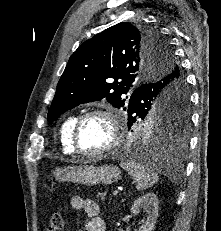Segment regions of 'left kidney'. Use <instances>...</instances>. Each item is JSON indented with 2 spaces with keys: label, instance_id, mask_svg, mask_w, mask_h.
Wrapping results in <instances>:
<instances>
[{
  "label": "left kidney",
  "instance_id": "1",
  "mask_svg": "<svg viewBox=\"0 0 221 231\" xmlns=\"http://www.w3.org/2000/svg\"><path fill=\"white\" fill-rule=\"evenodd\" d=\"M143 209L147 216L143 224L139 227V231H153L158 218L159 201L154 193H147L137 198L131 206V212L137 215Z\"/></svg>",
  "mask_w": 221,
  "mask_h": 231
}]
</instances>
